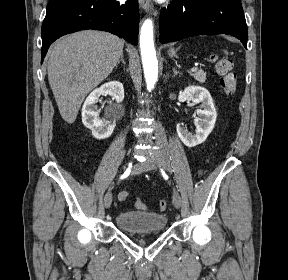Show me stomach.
<instances>
[{
  "label": "stomach",
  "mask_w": 288,
  "mask_h": 280,
  "mask_svg": "<svg viewBox=\"0 0 288 280\" xmlns=\"http://www.w3.org/2000/svg\"><path fill=\"white\" fill-rule=\"evenodd\" d=\"M170 53L173 55V54H175V51H174V50H171Z\"/></svg>",
  "instance_id": "1"
}]
</instances>
